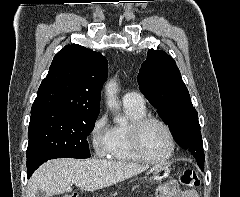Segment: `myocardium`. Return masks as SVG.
Returning <instances> with one entry per match:
<instances>
[{
	"instance_id": "obj_1",
	"label": "myocardium",
	"mask_w": 240,
	"mask_h": 197,
	"mask_svg": "<svg viewBox=\"0 0 240 197\" xmlns=\"http://www.w3.org/2000/svg\"><path fill=\"white\" fill-rule=\"evenodd\" d=\"M151 123H157L160 126H162L164 128V130L166 131V133L169 137V140H170V145H171L170 152L168 153V155L166 157H164L162 159L151 158L146 153L144 146H143V142H142L143 132H144L145 128ZM129 138H130L131 146H132L134 152L136 153V155L142 161H145L149 164L162 165V164L170 161L175 155L177 144H176V139L173 134V131H172L171 127L164 120H162L158 117L146 115V116L132 122L129 127Z\"/></svg>"
}]
</instances>
